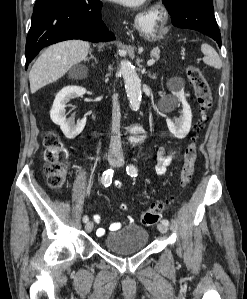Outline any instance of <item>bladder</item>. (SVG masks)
<instances>
[{"mask_svg":"<svg viewBox=\"0 0 247 299\" xmlns=\"http://www.w3.org/2000/svg\"><path fill=\"white\" fill-rule=\"evenodd\" d=\"M149 232L143 226L129 224L110 233L104 239V248L114 254H131L146 248Z\"/></svg>","mask_w":247,"mask_h":299,"instance_id":"bladder-1","label":"bladder"}]
</instances>
